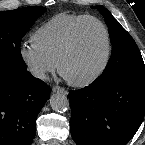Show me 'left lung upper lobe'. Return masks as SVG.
<instances>
[{
    "instance_id": "obj_1",
    "label": "left lung upper lobe",
    "mask_w": 145,
    "mask_h": 145,
    "mask_svg": "<svg viewBox=\"0 0 145 145\" xmlns=\"http://www.w3.org/2000/svg\"><path fill=\"white\" fill-rule=\"evenodd\" d=\"M108 26L112 54L103 73L95 80L105 83L114 78L145 73V65L137 44L131 35L117 22L107 8L97 5Z\"/></svg>"
}]
</instances>
